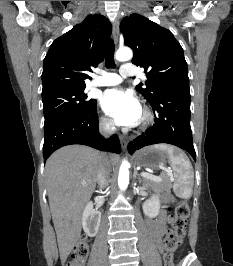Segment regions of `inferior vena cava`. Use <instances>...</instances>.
Masks as SVG:
<instances>
[{
	"instance_id": "1",
	"label": "inferior vena cava",
	"mask_w": 233,
	"mask_h": 266,
	"mask_svg": "<svg viewBox=\"0 0 233 266\" xmlns=\"http://www.w3.org/2000/svg\"><path fill=\"white\" fill-rule=\"evenodd\" d=\"M114 130H115V126L113 122L111 121L104 122L100 126V132L106 138L109 137L113 133ZM109 177H110V170L108 168L107 162L103 159L100 163L99 170L97 173V181L101 189H104L107 186L109 182Z\"/></svg>"
}]
</instances>
